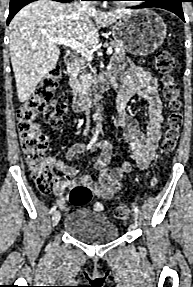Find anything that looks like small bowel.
<instances>
[{"mask_svg": "<svg viewBox=\"0 0 193 287\" xmlns=\"http://www.w3.org/2000/svg\"><path fill=\"white\" fill-rule=\"evenodd\" d=\"M111 67L119 91L118 115L115 124L123 131L126 146L138 168L146 169L154 158L164 120L156 78L151 71L132 65L124 58L114 60ZM134 97L141 98L148 105L149 120L145 132H142L138 122L126 111L128 102ZM45 122L51 128H55L47 117H45ZM73 133H80V129L74 128ZM87 146L82 143L73 144L69 147L66 156L68 160H75L85 150L100 149L101 154L94 163V169L98 173L97 180L90 176L78 177L77 167L67 165L54 157L50 159V164L60 173L54 193L61 201H66L67 191L78 185L90 188L97 198L109 199L121 189V180L131 169V161L125 162L121 167H107L112 154L109 141L94 143L89 149Z\"/></svg>", "mask_w": 193, "mask_h": 287, "instance_id": "1", "label": "small bowel"}]
</instances>
